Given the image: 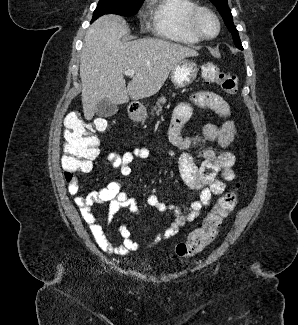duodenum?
<instances>
[{
    "instance_id": "1",
    "label": "duodenum",
    "mask_w": 298,
    "mask_h": 325,
    "mask_svg": "<svg viewBox=\"0 0 298 325\" xmlns=\"http://www.w3.org/2000/svg\"><path fill=\"white\" fill-rule=\"evenodd\" d=\"M136 111H137L136 107H133L132 110H131L132 113H136Z\"/></svg>"
}]
</instances>
